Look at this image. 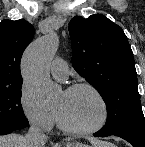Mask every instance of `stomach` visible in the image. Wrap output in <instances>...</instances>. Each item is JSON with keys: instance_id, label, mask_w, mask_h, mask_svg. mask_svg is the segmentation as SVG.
Here are the masks:
<instances>
[{"instance_id": "1", "label": "stomach", "mask_w": 145, "mask_h": 147, "mask_svg": "<svg viewBox=\"0 0 145 147\" xmlns=\"http://www.w3.org/2000/svg\"><path fill=\"white\" fill-rule=\"evenodd\" d=\"M66 147H89V146L79 143V142H73V143L67 144Z\"/></svg>"}]
</instances>
